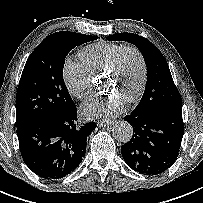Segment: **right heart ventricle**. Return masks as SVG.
Returning a JSON list of instances; mask_svg holds the SVG:
<instances>
[{
  "instance_id": "right-heart-ventricle-1",
  "label": "right heart ventricle",
  "mask_w": 203,
  "mask_h": 203,
  "mask_svg": "<svg viewBox=\"0 0 203 203\" xmlns=\"http://www.w3.org/2000/svg\"><path fill=\"white\" fill-rule=\"evenodd\" d=\"M124 47L123 44L98 42L81 49L79 57L92 76L104 72L117 53Z\"/></svg>"
}]
</instances>
